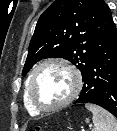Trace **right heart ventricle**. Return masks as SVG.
Returning a JSON list of instances; mask_svg holds the SVG:
<instances>
[{"label": "right heart ventricle", "mask_w": 117, "mask_h": 131, "mask_svg": "<svg viewBox=\"0 0 117 131\" xmlns=\"http://www.w3.org/2000/svg\"><path fill=\"white\" fill-rule=\"evenodd\" d=\"M28 79L25 81L24 88H23V104H24L26 111L30 115L35 116V115H38L40 112L33 107V105L31 104L29 100L28 92H27Z\"/></svg>", "instance_id": "right-heart-ventricle-1"}]
</instances>
